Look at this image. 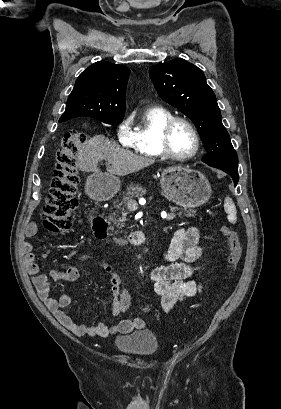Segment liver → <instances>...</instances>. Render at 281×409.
I'll return each mask as SVG.
<instances>
[{
  "mask_svg": "<svg viewBox=\"0 0 281 409\" xmlns=\"http://www.w3.org/2000/svg\"><path fill=\"white\" fill-rule=\"evenodd\" d=\"M99 160H108L111 164V166H106L107 172L105 174H118V176L136 172V170H141V168L155 162V158L134 154L131 150H124V148L112 144L111 140L106 138L104 134H96L84 142L82 148L78 150L76 164L79 170L100 174Z\"/></svg>",
  "mask_w": 281,
  "mask_h": 409,
  "instance_id": "1",
  "label": "liver"
}]
</instances>
